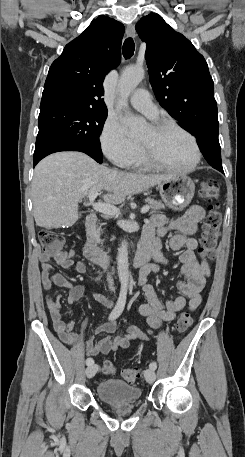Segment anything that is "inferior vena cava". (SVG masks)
<instances>
[{"mask_svg": "<svg viewBox=\"0 0 245 457\" xmlns=\"http://www.w3.org/2000/svg\"><path fill=\"white\" fill-rule=\"evenodd\" d=\"M114 172H117V170H114ZM107 281H108L109 289H111V291H114V287H113L114 283H113V279H112V277H110V275H108Z\"/></svg>", "mask_w": 245, "mask_h": 457, "instance_id": "obj_1", "label": "inferior vena cava"}]
</instances>
